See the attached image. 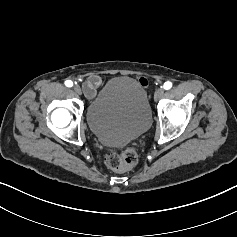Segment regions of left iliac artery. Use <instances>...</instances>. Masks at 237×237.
Wrapping results in <instances>:
<instances>
[{"instance_id":"1","label":"left iliac artery","mask_w":237,"mask_h":237,"mask_svg":"<svg viewBox=\"0 0 237 237\" xmlns=\"http://www.w3.org/2000/svg\"><path fill=\"white\" fill-rule=\"evenodd\" d=\"M171 87H172V83L169 82V81L165 82L164 85H163V88L165 90H169Z\"/></svg>"}]
</instances>
